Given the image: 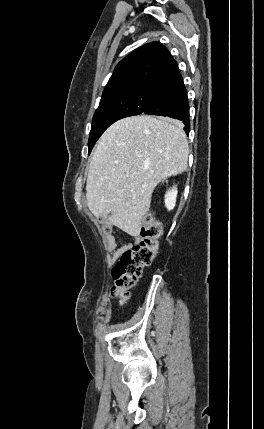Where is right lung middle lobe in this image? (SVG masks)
Returning <instances> with one entry per match:
<instances>
[{"label":"right lung middle lobe","instance_id":"dd1d6c3e","mask_svg":"<svg viewBox=\"0 0 264 429\" xmlns=\"http://www.w3.org/2000/svg\"><path fill=\"white\" fill-rule=\"evenodd\" d=\"M159 88L152 85H137L102 95L92 121L88 141L89 154L95 142L111 124L119 119L143 113Z\"/></svg>","mask_w":264,"mask_h":429}]
</instances>
